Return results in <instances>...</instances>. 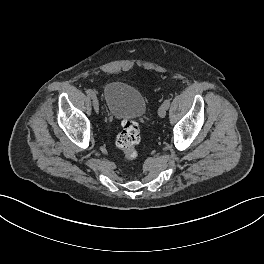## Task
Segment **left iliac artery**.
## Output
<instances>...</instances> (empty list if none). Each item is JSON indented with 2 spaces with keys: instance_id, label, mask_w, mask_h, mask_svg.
I'll return each instance as SVG.
<instances>
[{
  "instance_id": "44dca946",
  "label": "left iliac artery",
  "mask_w": 264,
  "mask_h": 264,
  "mask_svg": "<svg viewBox=\"0 0 264 264\" xmlns=\"http://www.w3.org/2000/svg\"><path fill=\"white\" fill-rule=\"evenodd\" d=\"M164 104L166 105V107L168 109V107L170 106V100L169 99L165 100Z\"/></svg>"
}]
</instances>
